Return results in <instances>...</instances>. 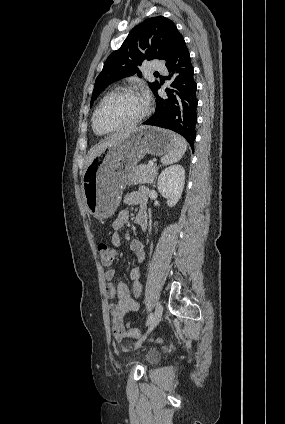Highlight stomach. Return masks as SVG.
I'll return each instance as SVG.
<instances>
[{
    "mask_svg": "<svg viewBox=\"0 0 285 424\" xmlns=\"http://www.w3.org/2000/svg\"><path fill=\"white\" fill-rule=\"evenodd\" d=\"M173 135L157 127L141 126L128 138L97 155L82 176V192L89 212L99 219L112 216L137 163L145 154L169 153L174 143Z\"/></svg>",
    "mask_w": 285,
    "mask_h": 424,
    "instance_id": "stomach-1",
    "label": "stomach"
}]
</instances>
